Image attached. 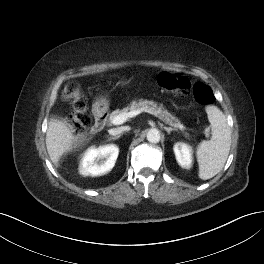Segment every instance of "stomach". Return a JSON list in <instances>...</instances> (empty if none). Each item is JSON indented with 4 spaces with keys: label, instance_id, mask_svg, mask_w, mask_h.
Wrapping results in <instances>:
<instances>
[{
    "label": "stomach",
    "instance_id": "0dacf381",
    "mask_svg": "<svg viewBox=\"0 0 264 264\" xmlns=\"http://www.w3.org/2000/svg\"><path fill=\"white\" fill-rule=\"evenodd\" d=\"M123 83L126 84L127 81H123ZM99 101H100L101 103L105 104V103H106V96H105V95H101V96L99 97Z\"/></svg>",
    "mask_w": 264,
    "mask_h": 264
}]
</instances>
